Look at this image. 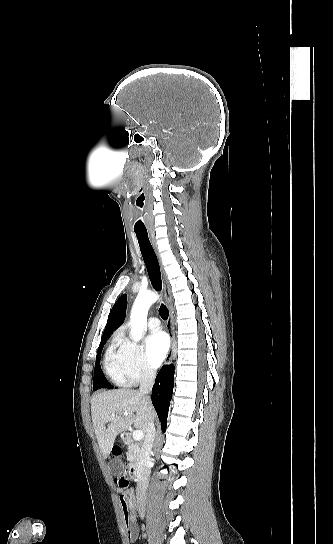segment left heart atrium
Listing matches in <instances>:
<instances>
[{"mask_svg":"<svg viewBox=\"0 0 333 544\" xmlns=\"http://www.w3.org/2000/svg\"><path fill=\"white\" fill-rule=\"evenodd\" d=\"M169 340L163 332H154L150 334L145 342L146 357L150 365L154 368L159 367L167 355Z\"/></svg>","mask_w":333,"mask_h":544,"instance_id":"left-heart-atrium-1","label":"left heart atrium"}]
</instances>
